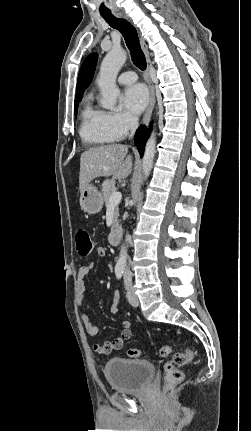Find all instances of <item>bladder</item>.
<instances>
[{"mask_svg": "<svg viewBox=\"0 0 251 431\" xmlns=\"http://www.w3.org/2000/svg\"><path fill=\"white\" fill-rule=\"evenodd\" d=\"M154 374L155 366L147 360L113 358L104 366V375L110 388L121 393L144 391Z\"/></svg>", "mask_w": 251, "mask_h": 431, "instance_id": "obj_1", "label": "bladder"}]
</instances>
